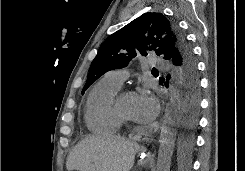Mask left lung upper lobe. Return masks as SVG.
Returning <instances> with one entry per match:
<instances>
[{
	"mask_svg": "<svg viewBox=\"0 0 245 171\" xmlns=\"http://www.w3.org/2000/svg\"><path fill=\"white\" fill-rule=\"evenodd\" d=\"M146 50H154L166 60L179 55L181 61H195L190 46L175 22L162 13H144L109 36L100 46L91 63L82 94L106 72L126 67L137 53L147 55Z\"/></svg>",
	"mask_w": 245,
	"mask_h": 171,
	"instance_id": "1",
	"label": "left lung upper lobe"
}]
</instances>
